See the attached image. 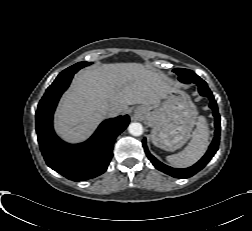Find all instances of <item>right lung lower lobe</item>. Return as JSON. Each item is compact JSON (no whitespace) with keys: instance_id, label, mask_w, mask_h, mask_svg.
<instances>
[{"instance_id":"obj_1","label":"right lung lower lobe","mask_w":252,"mask_h":231,"mask_svg":"<svg viewBox=\"0 0 252 231\" xmlns=\"http://www.w3.org/2000/svg\"><path fill=\"white\" fill-rule=\"evenodd\" d=\"M78 70L74 68L56 79L46 90L36 111L38 142L47 165L74 181L91 179L106 171L113 156L115 138L129 124L128 115L107 119L90 139L75 145L57 137L52 126L53 113L59 98Z\"/></svg>"}]
</instances>
